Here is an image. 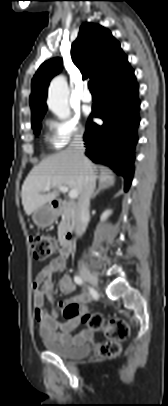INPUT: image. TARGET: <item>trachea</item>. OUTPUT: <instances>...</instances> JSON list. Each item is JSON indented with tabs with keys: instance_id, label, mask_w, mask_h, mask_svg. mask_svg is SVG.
<instances>
[{
	"instance_id": "1",
	"label": "trachea",
	"mask_w": 168,
	"mask_h": 406,
	"mask_svg": "<svg viewBox=\"0 0 168 406\" xmlns=\"http://www.w3.org/2000/svg\"><path fill=\"white\" fill-rule=\"evenodd\" d=\"M88 88H89V90H90L91 92H95V91H96V89H95V87H94V85H93V83H92L91 81L88 83Z\"/></svg>"
}]
</instances>
